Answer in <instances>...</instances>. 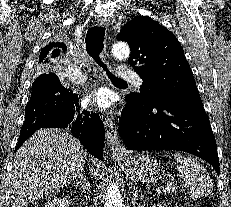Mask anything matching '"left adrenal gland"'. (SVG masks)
<instances>
[{
	"mask_svg": "<svg viewBox=\"0 0 231 207\" xmlns=\"http://www.w3.org/2000/svg\"><path fill=\"white\" fill-rule=\"evenodd\" d=\"M132 193H133V196H132V199H131V203H132L133 205H135V203H136V201H137V198L139 197L138 192H137V190L135 189V187H134Z\"/></svg>",
	"mask_w": 231,
	"mask_h": 207,
	"instance_id": "obj_1",
	"label": "left adrenal gland"
}]
</instances>
